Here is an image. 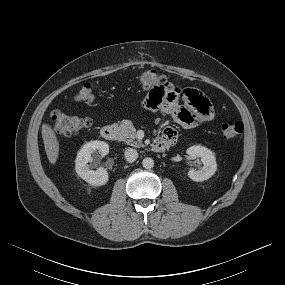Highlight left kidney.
<instances>
[{"mask_svg": "<svg viewBox=\"0 0 285 285\" xmlns=\"http://www.w3.org/2000/svg\"><path fill=\"white\" fill-rule=\"evenodd\" d=\"M187 154L191 157H200L203 167L196 171L190 169L187 175L190 179L197 182H202L209 179L217 170V163L214 153L201 145H194L187 149Z\"/></svg>", "mask_w": 285, "mask_h": 285, "instance_id": "5707ae66", "label": "left kidney"}]
</instances>
